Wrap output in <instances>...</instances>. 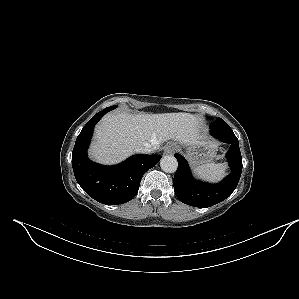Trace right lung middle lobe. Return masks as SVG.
<instances>
[{
	"label": "right lung middle lobe",
	"instance_id": "right-lung-middle-lobe-1",
	"mask_svg": "<svg viewBox=\"0 0 299 299\" xmlns=\"http://www.w3.org/2000/svg\"><path fill=\"white\" fill-rule=\"evenodd\" d=\"M110 108H111V109H114V108H116V105H115V106H111Z\"/></svg>",
	"mask_w": 299,
	"mask_h": 299
}]
</instances>
